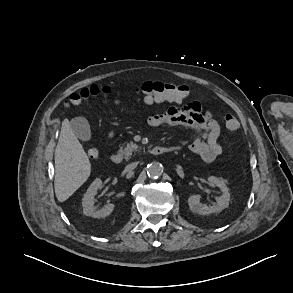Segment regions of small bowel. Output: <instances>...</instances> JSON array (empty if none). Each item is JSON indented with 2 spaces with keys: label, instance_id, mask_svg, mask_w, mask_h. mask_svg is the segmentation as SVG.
<instances>
[{
  "label": "small bowel",
  "instance_id": "c3829d8e",
  "mask_svg": "<svg viewBox=\"0 0 293 293\" xmlns=\"http://www.w3.org/2000/svg\"><path fill=\"white\" fill-rule=\"evenodd\" d=\"M144 101L149 105L158 102L148 97ZM148 124L154 128L186 127L191 130L194 138L189 143L188 149L204 162H213L222 153L219 123L211 113H203L199 104L195 102L171 106L164 113L150 116Z\"/></svg>",
  "mask_w": 293,
  "mask_h": 293
}]
</instances>
